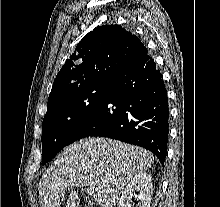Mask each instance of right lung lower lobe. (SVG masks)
Wrapping results in <instances>:
<instances>
[{"instance_id":"1","label":"right lung lower lobe","mask_w":220,"mask_h":207,"mask_svg":"<svg viewBox=\"0 0 220 207\" xmlns=\"http://www.w3.org/2000/svg\"><path fill=\"white\" fill-rule=\"evenodd\" d=\"M168 118L162 74L146 54L108 82L98 107L75 130L69 144L89 136L113 138L150 150L163 164Z\"/></svg>"}]
</instances>
